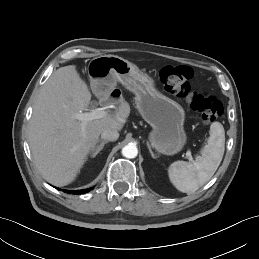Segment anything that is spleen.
Returning <instances> with one entry per match:
<instances>
[{"label": "spleen", "mask_w": 259, "mask_h": 259, "mask_svg": "<svg viewBox=\"0 0 259 259\" xmlns=\"http://www.w3.org/2000/svg\"><path fill=\"white\" fill-rule=\"evenodd\" d=\"M210 137L195 161H175L168 168L171 183L177 190L191 194L206 184L218 169L225 150V131L221 123L213 122Z\"/></svg>", "instance_id": "1"}]
</instances>
